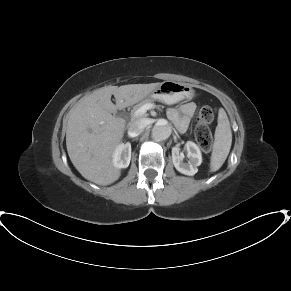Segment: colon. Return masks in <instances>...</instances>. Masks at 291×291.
<instances>
[{
  "label": "colon",
  "instance_id": "1",
  "mask_svg": "<svg viewBox=\"0 0 291 291\" xmlns=\"http://www.w3.org/2000/svg\"><path fill=\"white\" fill-rule=\"evenodd\" d=\"M213 120L214 112L210 107L204 106L199 110L194 130V138L197 144L205 151H209L212 146V134L207 125Z\"/></svg>",
  "mask_w": 291,
  "mask_h": 291
}]
</instances>
